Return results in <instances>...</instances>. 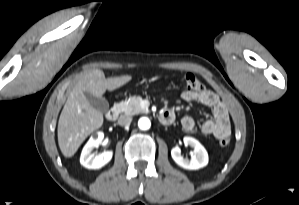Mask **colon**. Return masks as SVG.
Segmentation results:
<instances>
[{"label":"colon","mask_w":299,"mask_h":205,"mask_svg":"<svg viewBox=\"0 0 299 205\" xmlns=\"http://www.w3.org/2000/svg\"><path fill=\"white\" fill-rule=\"evenodd\" d=\"M181 81L189 91L199 93L205 90L203 83L192 73L181 76ZM219 144L222 147L227 146L229 144V137L220 138Z\"/></svg>","instance_id":"1"}]
</instances>
